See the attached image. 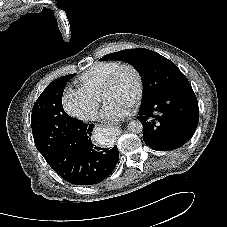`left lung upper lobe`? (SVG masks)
<instances>
[{"instance_id": "5c2ea615", "label": "left lung upper lobe", "mask_w": 227, "mask_h": 227, "mask_svg": "<svg viewBox=\"0 0 227 227\" xmlns=\"http://www.w3.org/2000/svg\"><path fill=\"white\" fill-rule=\"evenodd\" d=\"M100 60L125 61L138 70L144 85L142 104L175 91L191 88L187 78L173 62L148 49L121 50Z\"/></svg>"}]
</instances>
